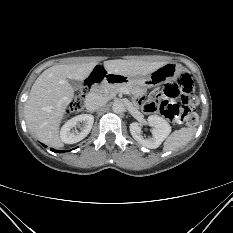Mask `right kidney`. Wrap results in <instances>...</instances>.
<instances>
[{"label":"right kidney","instance_id":"1","mask_svg":"<svg viewBox=\"0 0 233 233\" xmlns=\"http://www.w3.org/2000/svg\"><path fill=\"white\" fill-rule=\"evenodd\" d=\"M83 123L81 132L74 130L77 124ZM94 117L90 114H81L68 120L60 131V139L66 144H73L84 139L92 129Z\"/></svg>","mask_w":233,"mask_h":233}]
</instances>
